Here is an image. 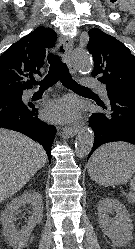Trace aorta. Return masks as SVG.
<instances>
[{
	"label": "aorta",
	"instance_id": "obj_1",
	"mask_svg": "<svg viewBox=\"0 0 135 249\" xmlns=\"http://www.w3.org/2000/svg\"><path fill=\"white\" fill-rule=\"evenodd\" d=\"M72 60L75 67L83 73H89L92 69V60L89 53L82 48L72 52ZM94 143V132L90 127H84L75 140V154L79 158L86 157Z\"/></svg>",
	"mask_w": 135,
	"mask_h": 249
}]
</instances>
